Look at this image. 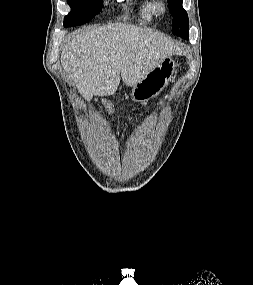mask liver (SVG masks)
Wrapping results in <instances>:
<instances>
[{"label":"liver","mask_w":253,"mask_h":285,"mask_svg":"<svg viewBox=\"0 0 253 285\" xmlns=\"http://www.w3.org/2000/svg\"><path fill=\"white\" fill-rule=\"evenodd\" d=\"M180 49L163 34L125 23L79 31L62 48L61 64L89 101L113 95L120 83L136 85Z\"/></svg>","instance_id":"obj_1"}]
</instances>
